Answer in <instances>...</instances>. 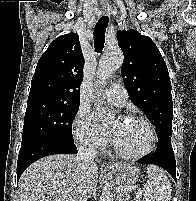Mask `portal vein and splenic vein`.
Returning <instances> with one entry per match:
<instances>
[{"instance_id": "18ae733b", "label": "portal vein and splenic vein", "mask_w": 196, "mask_h": 201, "mask_svg": "<svg viewBox=\"0 0 196 201\" xmlns=\"http://www.w3.org/2000/svg\"><path fill=\"white\" fill-rule=\"evenodd\" d=\"M120 191H123V192H129V191H131V187H122L121 189H120ZM142 196V193L141 192H138L137 193V197H141Z\"/></svg>"}]
</instances>
